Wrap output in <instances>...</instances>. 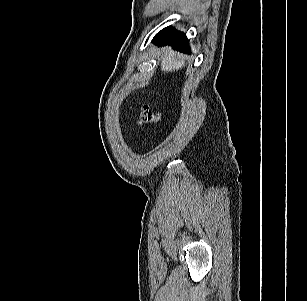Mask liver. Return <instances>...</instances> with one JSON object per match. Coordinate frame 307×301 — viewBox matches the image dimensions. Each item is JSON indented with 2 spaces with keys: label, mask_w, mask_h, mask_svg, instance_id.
Instances as JSON below:
<instances>
[{
  "label": "liver",
  "mask_w": 307,
  "mask_h": 301,
  "mask_svg": "<svg viewBox=\"0 0 307 301\" xmlns=\"http://www.w3.org/2000/svg\"><path fill=\"white\" fill-rule=\"evenodd\" d=\"M176 52L171 48H165L163 55L161 56V70L164 72L178 71L184 65L183 60L176 58Z\"/></svg>",
  "instance_id": "6515ba94"
}]
</instances>
